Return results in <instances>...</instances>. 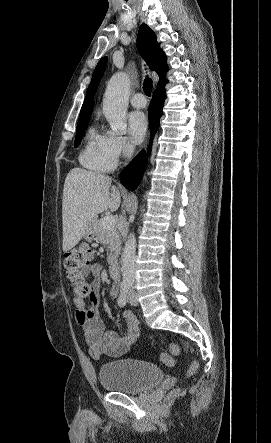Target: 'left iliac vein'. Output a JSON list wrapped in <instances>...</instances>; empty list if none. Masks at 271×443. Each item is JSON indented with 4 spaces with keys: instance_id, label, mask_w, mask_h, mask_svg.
<instances>
[{
    "instance_id": "left-iliac-vein-1",
    "label": "left iliac vein",
    "mask_w": 271,
    "mask_h": 443,
    "mask_svg": "<svg viewBox=\"0 0 271 443\" xmlns=\"http://www.w3.org/2000/svg\"><path fill=\"white\" fill-rule=\"evenodd\" d=\"M128 301L132 306L138 305V299L135 293H131L128 297Z\"/></svg>"
}]
</instances>
